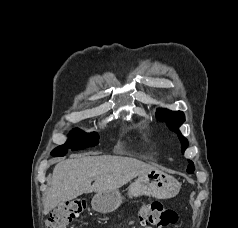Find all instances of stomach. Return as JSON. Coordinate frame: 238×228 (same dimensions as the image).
I'll list each match as a JSON object with an SVG mask.
<instances>
[{"label": "stomach", "mask_w": 238, "mask_h": 228, "mask_svg": "<svg viewBox=\"0 0 238 228\" xmlns=\"http://www.w3.org/2000/svg\"><path fill=\"white\" fill-rule=\"evenodd\" d=\"M181 189V183L173 176L159 170L141 174L129 185L128 196L138 197L148 195L157 199H168L176 196ZM123 196L119 190L97 192L92 199V207L101 213L115 211L122 203Z\"/></svg>", "instance_id": "obj_1"}]
</instances>
